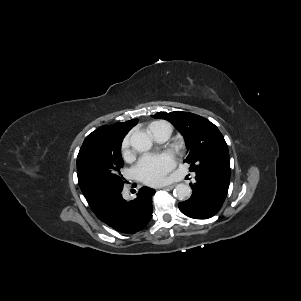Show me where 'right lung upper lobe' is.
I'll use <instances>...</instances> for the list:
<instances>
[{"mask_svg": "<svg viewBox=\"0 0 301 301\" xmlns=\"http://www.w3.org/2000/svg\"><path fill=\"white\" fill-rule=\"evenodd\" d=\"M138 119H132L124 123L118 122L112 125H106L98 128L87 136L85 140L92 137H102L110 141L121 142L127 132L137 124Z\"/></svg>", "mask_w": 301, "mask_h": 301, "instance_id": "cb5924a9", "label": "right lung upper lobe"}]
</instances>
